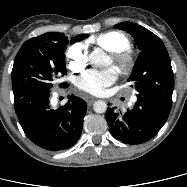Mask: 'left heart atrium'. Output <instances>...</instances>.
I'll use <instances>...</instances> for the list:
<instances>
[{
	"mask_svg": "<svg viewBox=\"0 0 187 187\" xmlns=\"http://www.w3.org/2000/svg\"><path fill=\"white\" fill-rule=\"evenodd\" d=\"M118 78L114 68L106 70H89L81 75L76 82L77 87L92 95H101L106 88L111 86Z\"/></svg>",
	"mask_w": 187,
	"mask_h": 187,
	"instance_id": "obj_1",
	"label": "left heart atrium"
}]
</instances>
